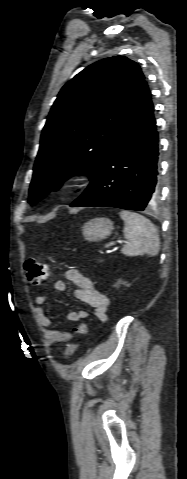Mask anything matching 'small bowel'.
I'll use <instances>...</instances> for the list:
<instances>
[{
	"label": "small bowel",
	"mask_w": 187,
	"mask_h": 479,
	"mask_svg": "<svg viewBox=\"0 0 187 479\" xmlns=\"http://www.w3.org/2000/svg\"><path fill=\"white\" fill-rule=\"evenodd\" d=\"M66 279L75 285L73 292L74 297L92 307L95 311L96 317L99 321L105 322L107 320V312L110 305L108 297L97 289L92 281L85 274L77 269H68L65 273ZM67 289L66 283L63 280H57L54 283V290L62 293ZM49 300L48 295L41 294L35 298L37 308L35 310L36 317L39 323L46 329L47 337L53 342H60L65 339L66 333L59 331L52 326L51 320L46 316L42 306ZM88 317L86 310L72 311L68 314V320L71 322H79Z\"/></svg>",
	"instance_id": "1"
}]
</instances>
